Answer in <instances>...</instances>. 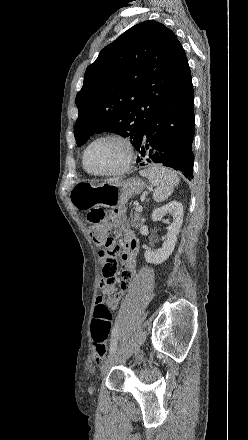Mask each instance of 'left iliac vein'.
<instances>
[{"instance_id":"1","label":"left iliac vein","mask_w":248,"mask_h":440,"mask_svg":"<svg viewBox=\"0 0 248 440\" xmlns=\"http://www.w3.org/2000/svg\"><path fill=\"white\" fill-rule=\"evenodd\" d=\"M145 339L146 332L144 330H140L127 346L122 347L120 350L109 356L107 361L101 367V376L107 374L113 365L126 361L140 348V346L145 342Z\"/></svg>"}]
</instances>
